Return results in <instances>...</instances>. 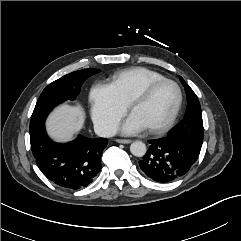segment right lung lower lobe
<instances>
[{"instance_id": "obj_1", "label": "right lung lower lobe", "mask_w": 241, "mask_h": 241, "mask_svg": "<svg viewBox=\"0 0 241 241\" xmlns=\"http://www.w3.org/2000/svg\"><path fill=\"white\" fill-rule=\"evenodd\" d=\"M105 138L90 139L79 135L66 144L53 142L45 123L30 131L31 150L42 173L58 186L77 190L88 186L101 170Z\"/></svg>"}]
</instances>
